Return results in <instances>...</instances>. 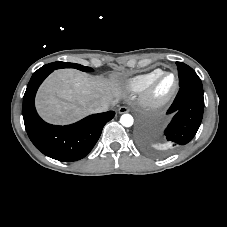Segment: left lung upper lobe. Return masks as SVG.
I'll return each mask as SVG.
<instances>
[{
    "instance_id": "obj_1",
    "label": "left lung upper lobe",
    "mask_w": 227,
    "mask_h": 227,
    "mask_svg": "<svg viewBox=\"0 0 227 227\" xmlns=\"http://www.w3.org/2000/svg\"><path fill=\"white\" fill-rule=\"evenodd\" d=\"M179 75V86L192 85L198 88L202 87V82L195 71L182 62H176Z\"/></svg>"
}]
</instances>
